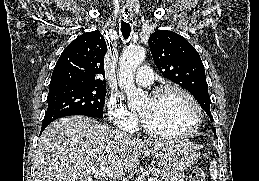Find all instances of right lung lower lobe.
I'll return each mask as SVG.
<instances>
[{"instance_id": "right-lung-lower-lobe-1", "label": "right lung lower lobe", "mask_w": 259, "mask_h": 181, "mask_svg": "<svg viewBox=\"0 0 259 181\" xmlns=\"http://www.w3.org/2000/svg\"><path fill=\"white\" fill-rule=\"evenodd\" d=\"M73 115H85V116H90V115H86V114H73ZM69 116H70V115H69ZM90 117H94V116H90ZM94 118H96V117H94ZM50 123H51V122L42 124V128H41L40 134L42 133V131H43Z\"/></svg>"}]
</instances>
